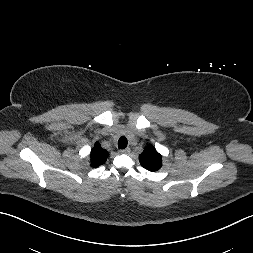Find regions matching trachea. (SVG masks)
<instances>
[{"instance_id": "obj_1", "label": "trachea", "mask_w": 253, "mask_h": 253, "mask_svg": "<svg viewBox=\"0 0 253 253\" xmlns=\"http://www.w3.org/2000/svg\"><path fill=\"white\" fill-rule=\"evenodd\" d=\"M126 147H127V138L122 136L118 140V148L125 149Z\"/></svg>"}]
</instances>
